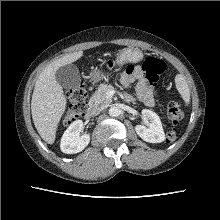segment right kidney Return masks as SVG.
Returning <instances> with one entry per match:
<instances>
[{"label": "right kidney", "mask_w": 220, "mask_h": 220, "mask_svg": "<svg viewBox=\"0 0 220 220\" xmlns=\"http://www.w3.org/2000/svg\"><path fill=\"white\" fill-rule=\"evenodd\" d=\"M82 128V120H76L66 129L60 142V148L63 153L75 154L81 152L89 144L90 134L85 133L80 136Z\"/></svg>", "instance_id": "ca27d5eb"}]
</instances>
